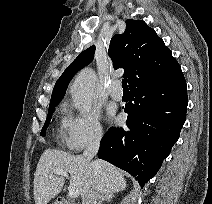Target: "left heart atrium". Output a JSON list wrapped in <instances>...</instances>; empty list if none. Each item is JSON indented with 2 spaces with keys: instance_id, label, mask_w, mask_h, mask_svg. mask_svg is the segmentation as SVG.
I'll list each match as a JSON object with an SVG mask.
<instances>
[{
  "instance_id": "obj_1",
  "label": "left heart atrium",
  "mask_w": 212,
  "mask_h": 204,
  "mask_svg": "<svg viewBox=\"0 0 212 204\" xmlns=\"http://www.w3.org/2000/svg\"><path fill=\"white\" fill-rule=\"evenodd\" d=\"M108 115H109V117L113 116V111L111 109L108 110Z\"/></svg>"
}]
</instances>
